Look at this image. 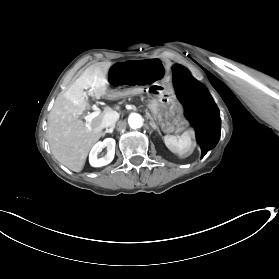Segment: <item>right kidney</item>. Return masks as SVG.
Wrapping results in <instances>:
<instances>
[{"label":"right kidney","mask_w":279,"mask_h":279,"mask_svg":"<svg viewBox=\"0 0 279 279\" xmlns=\"http://www.w3.org/2000/svg\"><path fill=\"white\" fill-rule=\"evenodd\" d=\"M115 145L116 142L113 138H106L102 142H98L91 150L89 155L90 164L93 167H100L109 164L115 154ZM103 148H106V154L103 157L99 158L98 154L102 151Z\"/></svg>","instance_id":"obj_1"}]
</instances>
